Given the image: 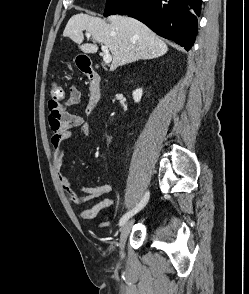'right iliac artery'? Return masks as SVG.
<instances>
[{
    "label": "right iliac artery",
    "mask_w": 249,
    "mask_h": 294,
    "mask_svg": "<svg viewBox=\"0 0 249 294\" xmlns=\"http://www.w3.org/2000/svg\"><path fill=\"white\" fill-rule=\"evenodd\" d=\"M148 199H149V192H146L142 200L139 202V204H137L135 208H133L131 211L127 212L121 217L119 221V226H122L125 222H127V220L131 216H133L138 211H140L146 205V203L148 202Z\"/></svg>",
    "instance_id": "1"
}]
</instances>
